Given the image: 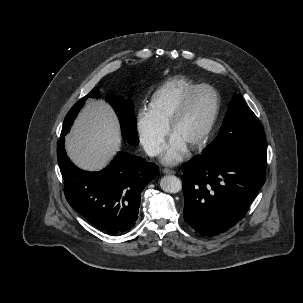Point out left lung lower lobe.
I'll return each instance as SVG.
<instances>
[{"label":"left lung lower lobe","instance_id":"left-lung-lower-lobe-1","mask_svg":"<svg viewBox=\"0 0 303 303\" xmlns=\"http://www.w3.org/2000/svg\"><path fill=\"white\" fill-rule=\"evenodd\" d=\"M182 169L185 221L206 236L236 225L266 180V169L228 156L198 155Z\"/></svg>","mask_w":303,"mask_h":303}]
</instances>
